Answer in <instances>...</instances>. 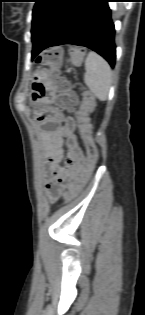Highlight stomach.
<instances>
[{"mask_svg":"<svg viewBox=\"0 0 145 315\" xmlns=\"http://www.w3.org/2000/svg\"><path fill=\"white\" fill-rule=\"evenodd\" d=\"M53 72H34L30 91V104L33 105L32 116L35 122H51V116H57V109H48L52 103L51 91H54Z\"/></svg>","mask_w":145,"mask_h":315,"instance_id":"stomach-1","label":"stomach"}]
</instances>
